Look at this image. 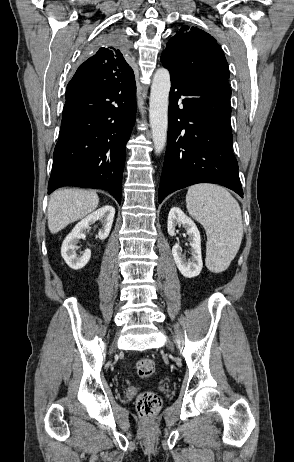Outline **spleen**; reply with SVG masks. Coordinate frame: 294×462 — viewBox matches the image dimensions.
<instances>
[{
    "mask_svg": "<svg viewBox=\"0 0 294 462\" xmlns=\"http://www.w3.org/2000/svg\"><path fill=\"white\" fill-rule=\"evenodd\" d=\"M186 206L189 214L206 231L207 268L214 273L226 270L235 258L243 236L238 202L223 187L197 184L189 187Z\"/></svg>",
    "mask_w": 294,
    "mask_h": 462,
    "instance_id": "1",
    "label": "spleen"
}]
</instances>
